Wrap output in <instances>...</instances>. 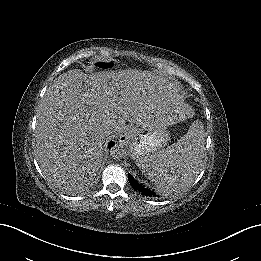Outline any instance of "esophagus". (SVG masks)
Returning <instances> with one entry per match:
<instances>
[{"label":"esophagus","instance_id":"1","mask_svg":"<svg viewBox=\"0 0 261 261\" xmlns=\"http://www.w3.org/2000/svg\"><path fill=\"white\" fill-rule=\"evenodd\" d=\"M122 137H125V139H127V136H126V135H122Z\"/></svg>","mask_w":261,"mask_h":261}]
</instances>
